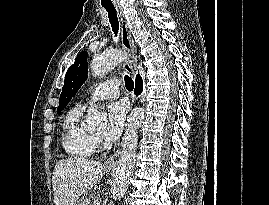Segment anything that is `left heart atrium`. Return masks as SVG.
I'll use <instances>...</instances> for the list:
<instances>
[{"label": "left heart atrium", "instance_id": "obj_1", "mask_svg": "<svg viewBox=\"0 0 269 205\" xmlns=\"http://www.w3.org/2000/svg\"><path fill=\"white\" fill-rule=\"evenodd\" d=\"M128 106L125 101H115L107 108V122L104 128V137L108 141H115L121 134L127 115Z\"/></svg>", "mask_w": 269, "mask_h": 205}]
</instances>
